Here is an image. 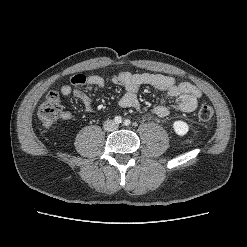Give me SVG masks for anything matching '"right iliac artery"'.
I'll return each instance as SVG.
<instances>
[{
	"label": "right iliac artery",
	"instance_id": "right-iliac-artery-1",
	"mask_svg": "<svg viewBox=\"0 0 247 247\" xmlns=\"http://www.w3.org/2000/svg\"><path fill=\"white\" fill-rule=\"evenodd\" d=\"M114 122H115L116 124H120V123L122 122V118H121L120 116H116V117L114 118Z\"/></svg>",
	"mask_w": 247,
	"mask_h": 247
}]
</instances>
